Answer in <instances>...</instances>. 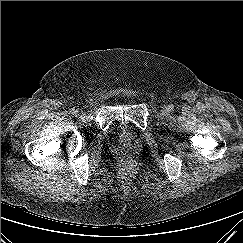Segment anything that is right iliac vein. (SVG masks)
<instances>
[{"instance_id": "1", "label": "right iliac vein", "mask_w": 243, "mask_h": 243, "mask_svg": "<svg viewBox=\"0 0 243 243\" xmlns=\"http://www.w3.org/2000/svg\"><path fill=\"white\" fill-rule=\"evenodd\" d=\"M75 115H76L77 117H82L83 112H82L81 110H77L76 113H75Z\"/></svg>"}]
</instances>
